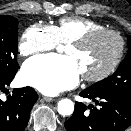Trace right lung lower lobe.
Here are the masks:
<instances>
[{
  "label": "right lung lower lobe",
  "instance_id": "1",
  "mask_svg": "<svg viewBox=\"0 0 131 131\" xmlns=\"http://www.w3.org/2000/svg\"><path fill=\"white\" fill-rule=\"evenodd\" d=\"M14 76L0 80V91H5ZM37 99L38 95L31 87L15 89L6 101L0 99V131H24Z\"/></svg>",
  "mask_w": 131,
  "mask_h": 131
}]
</instances>
